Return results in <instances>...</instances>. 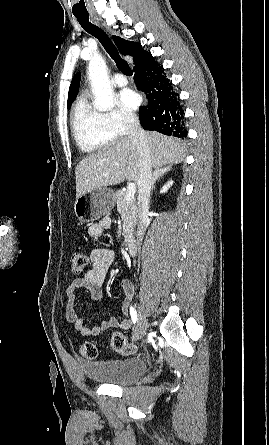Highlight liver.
I'll return each instance as SVG.
<instances>
[{
    "label": "liver",
    "mask_w": 269,
    "mask_h": 445,
    "mask_svg": "<svg viewBox=\"0 0 269 445\" xmlns=\"http://www.w3.org/2000/svg\"><path fill=\"white\" fill-rule=\"evenodd\" d=\"M152 166L160 169L181 163L186 147L179 139L157 132H145ZM140 156L135 142L125 136L83 159L75 169L76 199L92 190L122 183L138 184Z\"/></svg>",
    "instance_id": "obj_1"
}]
</instances>
